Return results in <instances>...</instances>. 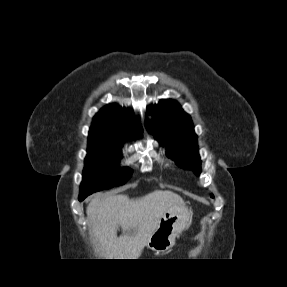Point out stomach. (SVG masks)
<instances>
[{
    "label": "stomach",
    "instance_id": "obj_1",
    "mask_svg": "<svg viewBox=\"0 0 287 287\" xmlns=\"http://www.w3.org/2000/svg\"><path fill=\"white\" fill-rule=\"evenodd\" d=\"M191 219V212L185 206H175L166 211L149 241L148 248L156 253H164L172 248L178 234L183 232Z\"/></svg>",
    "mask_w": 287,
    "mask_h": 287
}]
</instances>
